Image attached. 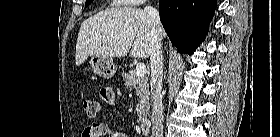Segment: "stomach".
<instances>
[{
	"label": "stomach",
	"instance_id": "0dacf381",
	"mask_svg": "<svg viewBox=\"0 0 280 137\" xmlns=\"http://www.w3.org/2000/svg\"><path fill=\"white\" fill-rule=\"evenodd\" d=\"M92 71L103 78H111L114 76L117 70L116 64L111 58H105L102 56H92L90 60Z\"/></svg>",
	"mask_w": 280,
	"mask_h": 137
}]
</instances>
